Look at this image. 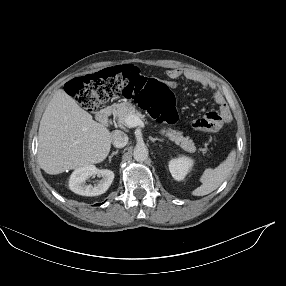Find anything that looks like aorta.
<instances>
[{
	"instance_id": "aorta-1",
	"label": "aorta",
	"mask_w": 286,
	"mask_h": 286,
	"mask_svg": "<svg viewBox=\"0 0 286 286\" xmlns=\"http://www.w3.org/2000/svg\"><path fill=\"white\" fill-rule=\"evenodd\" d=\"M133 157L136 161H144L148 157V149L144 145H137L133 151Z\"/></svg>"
}]
</instances>
